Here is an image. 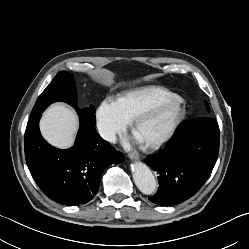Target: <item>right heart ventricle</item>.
I'll return each instance as SVG.
<instances>
[{"mask_svg":"<svg viewBox=\"0 0 249 249\" xmlns=\"http://www.w3.org/2000/svg\"><path fill=\"white\" fill-rule=\"evenodd\" d=\"M175 95L170 90L160 86H147L130 90L117 99L124 116L131 122L148 106Z\"/></svg>","mask_w":249,"mask_h":249,"instance_id":"obj_1","label":"right heart ventricle"}]
</instances>
